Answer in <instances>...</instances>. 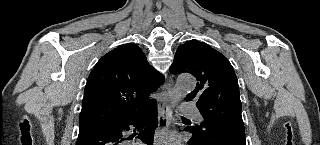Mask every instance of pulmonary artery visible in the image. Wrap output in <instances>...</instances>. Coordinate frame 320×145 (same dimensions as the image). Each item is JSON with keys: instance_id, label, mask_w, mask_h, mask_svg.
<instances>
[{"instance_id": "1", "label": "pulmonary artery", "mask_w": 320, "mask_h": 145, "mask_svg": "<svg viewBox=\"0 0 320 145\" xmlns=\"http://www.w3.org/2000/svg\"><path fill=\"white\" fill-rule=\"evenodd\" d=\"M182 113L187 116H191L197 121H203V117L195 107H187L182 110Z\"/></svg>"}]
</instances>
